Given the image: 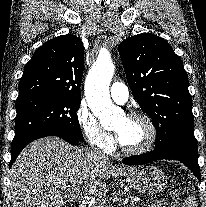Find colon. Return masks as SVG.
<instances>
[{
  "label": "colon",
  "mask_w": 206,
  "mask_h": 207,
  "mask_svg": "<svg viewBox=\"0 0 206 207\" xmlns=\"http://www.w3.org/2000/svg\"><path fill=\"white\" fill-rule=\"evenodd\" d=\"M181 195L182 194L179 190H175L171 193L170 207H179Z\"/></svg>",
  "instance_id": "colon-1"
}]
</instances>
